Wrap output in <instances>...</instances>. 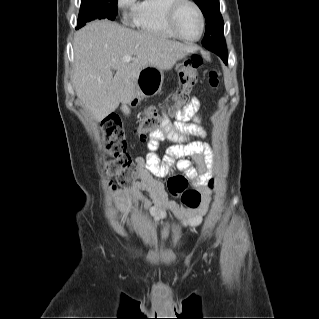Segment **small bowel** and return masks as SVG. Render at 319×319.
<instances>
[{"mask_svg": "<svg viewBox=\"0 0 319 319\" xmlns=\"http://www.w3.org/2000/svg\"><path fill=\"white\" fill-rule=\"evenodd\" d=\"M199 101L193 98L177 115L176 122L172 123L164 116L161 129L149 136L148 150L143 157L136 159L141 168L140 180L134 188L123 194L127 207L140 205L147 216L156 224H162L167 218H176L182 225L190 228L197 227L202 222L201 212H186L175 201L167 196L163 183L158 179L167 175L172 169H177L188 176L193 185L202 194L204 210L210 200V192L206 187L210 173L207 167L212 156L208 143L203 141L186 142L191 135L206 138L207 134L201 127V117L198 115ZM193 119V123L188 122ZM162 142H172L174 145L167 150L164 158H160L156 151ZM193 161L199 165V173L193 166ZM143 191L149 195L146 197L137 194ZM128 229L132 232L130 223L122 218Z\"/></svg>", "mask_w": 319, "mask_h": 319, "instance_id": "c3829d8e", "label": "small bowel"}]
</instances>
